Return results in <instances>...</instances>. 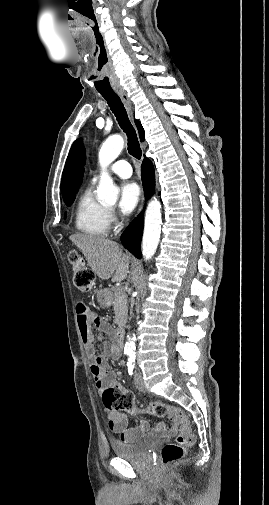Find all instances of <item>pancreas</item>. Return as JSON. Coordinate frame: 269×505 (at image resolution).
Listing matches in <instances>:
<instances>
[{"label": "pancreas", "mask_w": 269, "mask_h": 505, "mask_svg": "<svg viewBox=\"0 0 269 505\" xmlns=\"http://www.w3.org/2000/svg\"><path fill=\"white\" fill-rule=\"evenodd\" d=\"M113 291L114 324L123 325L127 320V297L122 288H115Z\"/></svg>", "instance_id": "cf45deb5"}]
</instances>
